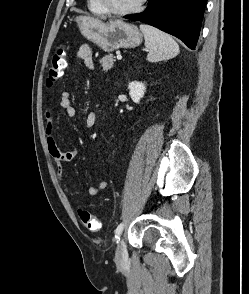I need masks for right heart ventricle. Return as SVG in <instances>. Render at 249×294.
<instances>
[{
  "instance_id": "1",
  "label": "right heart ventricle",
  "mask_w": 249,
  "mask_h": 294,
  "mask_svg": "<svg viewBox=\"0 0 249 294\" xmlns=\"http://www.w3.org/2000/svg\"><path fill=\"white\" fill-rule=\"evenodd\" d=\"M88 8L91 12L95 14H104L103 10L100 8L96 0H88Z\"/></svg>"
}]
</instances>
